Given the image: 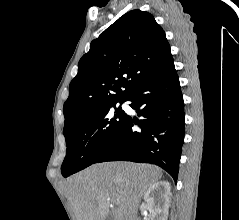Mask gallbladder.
I'll list each match as a JSON object with an SVG mask.
<instances>
[{
	"mask_svg": "<svg viewBox=\"0 0 239 220\" xmlns=\"http://www.w3.org/2000/svg\"><path fill=\"white\" fill-rule=\"evenodd\" d=\"M106 220H113V219L109 217V218H107Z\"/></svg>",
	"mask_w": 239,
	"mask_h": 220,
	"instance_id": "gallbladder-1",
	"label": "gallbladder"
}]
</instances>
